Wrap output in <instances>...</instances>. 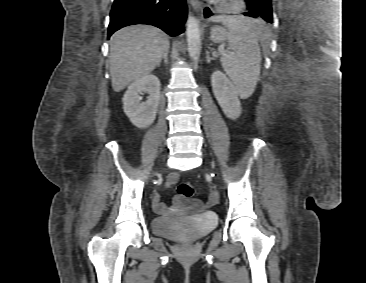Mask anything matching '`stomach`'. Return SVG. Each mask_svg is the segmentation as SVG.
<instances>
[{"mask_svg":"<svg viewBox=\"0 0 366 283\" xmlns=\"http://www.w3.org/2000/svg\"><path fill=\"white\" fill-rule=\"evenodd\" d=\"M227 32L224 28L216 27L212 29L211 40L215 43H221L226 40Z\"/></svg>","mask_w":366,"mask_h":283,"instance_id":"obj_1","label":"stomach"}]
</instances>
